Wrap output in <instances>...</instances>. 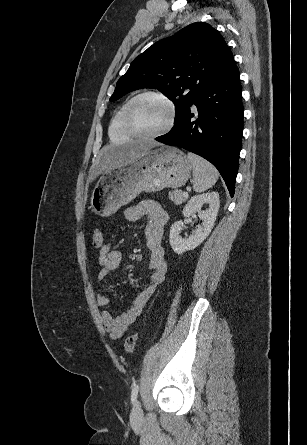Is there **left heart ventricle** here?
Returning a JSON list of instances; mask_svg holds the SVG:
<instances>
[{
  "label": "left heart ventricle",
  "mask_w": 307,
  "mask_h": 445,
  "mask_svg": "<svg viewBox=\"0 0 307 445\" xmlns=\"http://www.w3.org/2000/svg\"><path fill=\"white\" fill-rule=\"evenodd\" d=\"M133 118L141 131L156 132L166 124L169 111L162 101L156 98H147L136 105Z\"/></svg>",
  "instance_id": "1"
}]
</instances>
